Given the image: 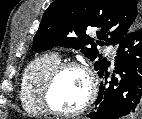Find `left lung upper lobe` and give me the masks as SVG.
<instances>
[{"label": "left lung upper lobe", "mask_w": 142, "mask_h": 119, "mask_svg": "<svg viewBox=\"0 0 142 119\" xmlns=\"http://www.w3.org/2000/svg\"><path fill=\"white\" fill-rule=\"evenodd\" d=\"M138 0H55L44 12L33 47L42 51L55 46L81 49L101 73L107 64L98 53V45L117 44L130 31L141 27ZM100 29V41L86 35V30ZM90 44L91 47H86Z\"/></svg>", "instance_id": "obj_1"}]
</instances>
